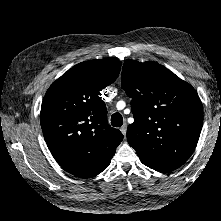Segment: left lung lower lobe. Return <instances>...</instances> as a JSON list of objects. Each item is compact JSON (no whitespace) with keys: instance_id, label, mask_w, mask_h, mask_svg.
<instances>
[{"instance_id":"left-lung-lower-lobe-1","label":"left lung lower lobe","mask_w":221,"mask_h":221,"mask_svg":"<svg viewBox=\"0 0 221 221\" xmlns=\"http://www.w3.org/2000/svg\"><path fill=\"white\" fill-rule=\"evenodd\" d=\"M140 160L144 165H146L149 168L154 169L155 171H158V172L166 173V172H170V171L178 168V167H175L172 165L158 162L156 160H151V159H146V158H140Z\"/></svg>"}]
</instances>
